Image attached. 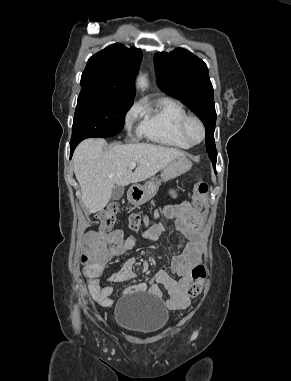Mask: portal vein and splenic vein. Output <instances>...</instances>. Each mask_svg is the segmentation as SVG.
I'll return each instance as SVG.
<instances>
[{"instance_id":"18ae733b","label":"portal vein and splenic vein","mask_w":291,"mask_h":381,"mask_svg":"<svg viewBox=\"0 0 291 381\" xmlns=\"http://www.w3.org/2000/svg\"><path fill=\"white\" fill-rule=\"evenodd\" d=\"M136 165H137L136 163H131V164L129 165V168H130V169H134V168L136 167Z\"/></svg>"}]
</instances>
